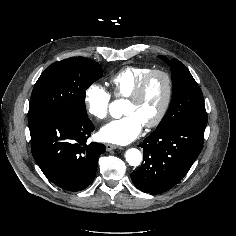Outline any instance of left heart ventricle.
Instances as JSON below:
<instances>
[{
    "label": "left heart ventricle",
    "instance_id": "1",
    "mask_svg": "<svg viewBox=\"0 0 236 236\" xmlns=\"http://www.w3.org/2000/svg\"><path fill=\"white\" fill-rule=\"evenodd\" d=\"M166 91L165 80L162 76H154L148 83L143 95L136 101L127 100L125 114L135 113L145 124L153 120L161 109Z\"/></svg>",
    "mask_w": 236,
    "mask_h": 236
}]
</instances>
